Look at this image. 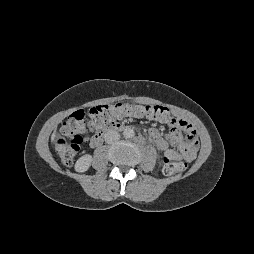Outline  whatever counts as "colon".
Wrapping results in <instances>:
<instances>
[{"label": "colon", "mask_w": 254, "mask_h": 254, "mask_svg": "<svg viewBox=\"0 0 254 254\" xmlns=\"http://www.w3.org/2000/svg\"><path fill=\"white\" fill-rule=\"evenodd\" d=\"M165 115L166 111L161 106L130 102L97 105L89 110L87 120L83 111H77L62 123L61 135L55 141V149L61 161L71 165L81 149L85 134L89 131H102L128 116L157 120L164 118ZM184 169L185 165L181 162L169 158L163 160L162 171L167 176L182 172Z\"/></svg>", "instance_id": "5ec220e1"}]
</instances>
